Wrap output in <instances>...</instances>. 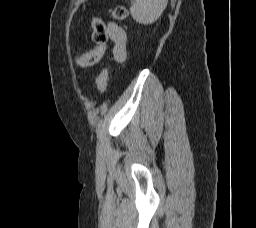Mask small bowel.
<instances>
[{
    "mask_svg": "<svg viewBox=\"0 0 256 228\" xmlns=\"http://www.w3.org/2000/svg\"><path fill=\"white\" fill-rule=\"evenodd\" d=\"M107 31L110 40L113 42L112 55L117 63H123L126 59L127 35L125 30L114 22H109Z\"/></svg>",
    "mask_w": 256,
    "mask_h": 228,
    "instance_id": "obj_1",
    "label": "small bowel"
}]
</instances>
